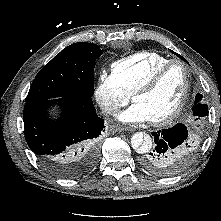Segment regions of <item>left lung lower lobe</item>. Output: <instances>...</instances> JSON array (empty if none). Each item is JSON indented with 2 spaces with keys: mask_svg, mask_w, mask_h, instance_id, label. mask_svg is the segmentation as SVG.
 Returning a JSON list of instances; mask_svg holds the SVG:
<instances>
[{
  "mask_svg": "<svg viewBox=\"0 0 221 221\" xmlns=\"http://www.w3.org/2000/svg\"><path fill=\"white\" fill-rule=\"evenodd\" d=\"M151 134L155 147L140 159L147 171L157 176H173L189 165L199 139L186 125L178 123Z\"/></svg>",
  "mask_w": 221,
  "mask_h": 221,
  "instance_id": "obj_1",
  "label": "left lung lower lobe"
}]
</instances>
